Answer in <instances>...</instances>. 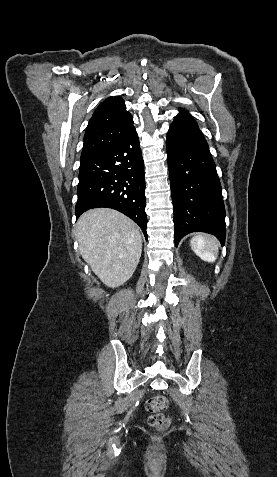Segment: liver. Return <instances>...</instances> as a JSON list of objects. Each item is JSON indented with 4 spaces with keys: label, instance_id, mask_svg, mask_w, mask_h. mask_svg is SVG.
I'll return each mask as SVG.
<instances>
[{
    "label": "liver",
    "instance_id": "1",
    "mask_svg": "<svg viewBox=\"0 0 277 477\" xmlns=\"http://www.w3.org/2000/svg\"><path fill=\"white\" fill-rule=\"evenodd\" d=\"M76 237L83 259L107 287L131 278L141 257L142 237L127 216L109 208L91 209L78 219Z\"/></svg>",
    "mask_w": 277,
    "mask_h": 477
}]
</instances>
